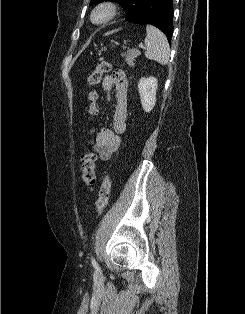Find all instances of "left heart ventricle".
<instances>
[{"label":"left heart ventricle","instance_id":"b2bd125f","mask_svg":"<svg viewBox=\"0 0 245 314\" xmlns=\"http://www.w3.org/2000/svg\"><path fill=\"white\" fill-rule=\"evenodd\" d=\"M105 17V13L104 12H99L98 14H96L95 19L100 21Z\"/></svg>","mask_w":245,"mask_h":314}]
</instances>
